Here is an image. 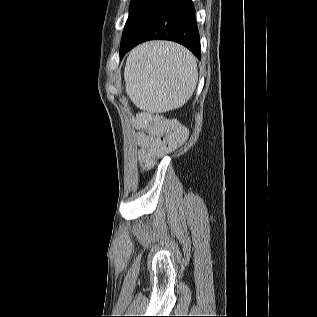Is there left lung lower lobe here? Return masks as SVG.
<instances>
[{"mask_svg":"<svg viewBox=\"0 0 317 317\" xmlns=\"http://www.w3.org/2000/svg\"><path fill=\"white\" fill-rule=\"evenodd\" d=\"M154 39L178 42L201 59L199 33L191 0H167L129 42L121 45L120 57L123 58L136 45Z\"/></svg>","mask_w":317,"mask_h":317,"instance_id":"1","label":"left lung lower lobe"}]
</instances>
